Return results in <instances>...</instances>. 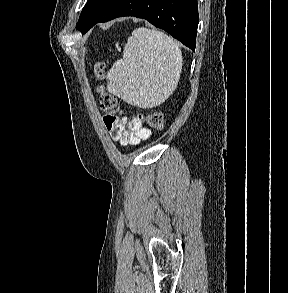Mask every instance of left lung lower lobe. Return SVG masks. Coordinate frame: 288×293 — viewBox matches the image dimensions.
<instances>
[{
  "instance_id": "1",
  "label": "left lung lower lobe",
  "mask_w": 288,
  "mask_h": 293,
  "mask_svg": "<svg viewBox=\"0 0 288 293\" xmlns=\"http://www.w3.org/2000/svg\"><path fill=\"white\" fill-rule=\"evenodd\" d=\"M122 16L146 19L195 51L197 0H118L95 24Z\"/></svg>"
}]
</instances>
